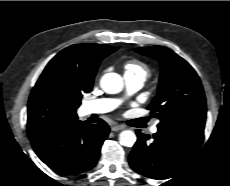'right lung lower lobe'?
<instances>
[{"label":"right lung lower lobe","instance_id":"1","mask_svg":"<svg viewBox=\"0 0 230 186\" xmlns=\"http://www.w3.org/2000/svg\"><path fill=\"white\" fill-rule=\"evenodd\" d=\"M109 130L103 120L95 125L78 120L48 132L31 144L38 157L52 170L79 174L96 165Z\"/></svg>","mask_w":230,"mask_h":186}]
</instances>
